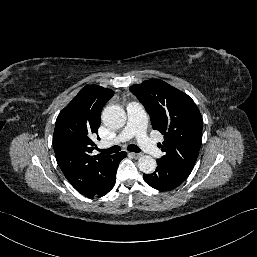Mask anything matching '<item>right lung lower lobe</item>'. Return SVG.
I'll use <instances>...</instances> for the list:
<instances>
[{"label": "right lung lower lobe", "mask_w": 257, "mask_h": 257, "mask_svg": "<svg viewBox=\"0 0 257 257\" xmlns=\"http://www.w3.org/2000/svg\"><path fill=\"white\" fill-rule=\"evenodd\" d=\"M126 156H127V153L124 151L113 155L112 159L110 160L106 168V174L102 183L100 184L98 190L93 195L88 196L89 198L101 197L107 194L113 188L115 184V176H116L118 164Z\"/></svg>", "instance_id": "98d812e1"}]
</instances>
